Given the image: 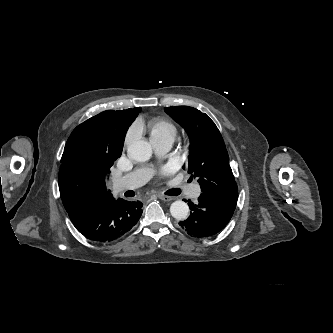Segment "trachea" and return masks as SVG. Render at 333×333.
I'll list each match as a JSON object with an SVG mask.
<instances>
[{
	"label": "trachea",
	"instance_id": "3493384b",
	"mask_svg": "<svg viewBox=\"0 0 333 333\" xmlns=\"http://www.w3.org/2000/svg\"><path fill=\"white\" fill-rule=\"evenodd\" d=\"M181 193V190L179 188L171 189L168 192H166L167 195L177 196Z\"/></svg>",
	"mask_w": 333,
	"mask_h": 333
}]
</instances>
